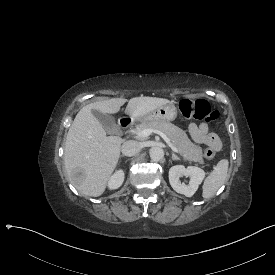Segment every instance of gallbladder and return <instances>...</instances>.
I'll return each mask as SVG.
<instances>
[{"instance_id":"bac80fb5","label":"gallbladder","mask_w":275,"mask_h":275,"mask_svg":"<svg viewBox=\"0 0 275 275\" xmlns=\"http://www.w3.org/2000/svg\"><path fill=\"white\" fill-rule=\"evenodd\" d=\"M92 114L100 121L103 128L108 134H116L119 132L120 127L115 123L113 116L108 114H103L97 110H92Z\"/></svg>"}]
</instances>
